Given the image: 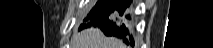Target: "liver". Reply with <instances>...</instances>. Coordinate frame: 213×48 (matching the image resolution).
I'll use <instances>...</instances> for the list:
<instances>
[{
	"mask_svg": "<svg viewBox=\"0 0 213 48\" xmlns=\"http://www.w3.org/2000/svg\"><path fill=\"white\" fill-rule=\"evenodd\" d=\"M71 42L72 48H125L120 40L105 37L98 28H87L74 33Z\"/></svg>",
	"mask_w": 213,
	"mask_h": 48,
	"instance_id": "liver-1",
	"label": "liver"
}]
</instances>
